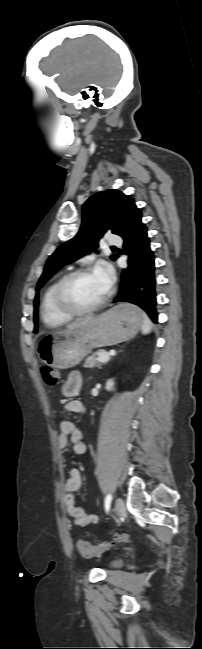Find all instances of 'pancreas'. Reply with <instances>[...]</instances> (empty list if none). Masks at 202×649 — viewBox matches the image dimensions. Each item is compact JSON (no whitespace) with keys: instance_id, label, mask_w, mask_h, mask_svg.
<instances>
[{"instance_id":"obj_1","label":"pancreas","mask_w":202,"mask_h":649,"mask_svg":"<svg viewBox=\"0 0 202 649\" xmlns=\"http://www.w3.org/2000/svg\"><path fill=\"white\" fill-rule=\"evenodd\" d=\"M101 353H106V354H108L107 351H105V350H100V351H98V352L96 353V355L99 356V354H101ZM97 364H99L98 357L92 356V357H89V358L86 359V361H85V363H84L83 366H84L85 368H91V367L96 366Z\"/></svg>"}]
</instances>
